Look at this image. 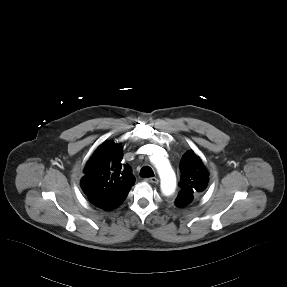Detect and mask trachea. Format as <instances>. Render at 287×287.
Here are the masks:
<instances>
[{
	"label": "trachea",
	"mask_w": 287,
	"mask_h": 287,
	"mask_svg": "<svg viewBox=\"0 0 287 287\" xmlns=\"http://www.w3.org/2000/svg\"><path fill=\"white\" fill-rule=\"evenodd\" d=\"M140 176L142 178H149V177H154V172L149 166H144L140 170Z\"/></svg>",
	"instance_id": "obj_1"
}]
</instances>
